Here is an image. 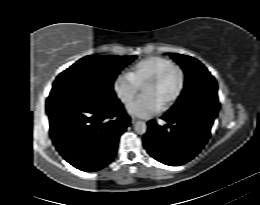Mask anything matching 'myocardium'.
I'll list each match as a JSON object with an SVG mask.
<instances>
[{
	"label": "myocardium",
	"mask_w": 260,
	"mask_h": 205,
	"mask_svg": "<svg viewBox=\"0 0 260 205\" xmlns=\"http://www.w3.org/2000/svg\"><path fill=\"white\" fill-rule=\"evenodd\" d=\"M172 73H178V75H179V85H178L176 91L174 92V94L165 102V104L161 105L163 110L170 109L173 105H175L180 100V98L182 97V95H183V93L186 89V85H187L186 72L184 71L183 68H181L178 65L171 66V67L163 70L159 74H157V76L155 78V83L157 85H159L160 83H162V81L167 76H169Z\"/></svg>",
	"instance_id": "f54148a6"
}]
</instances>
